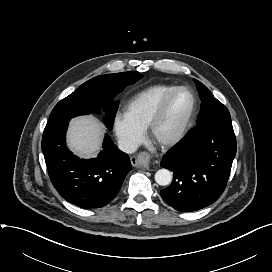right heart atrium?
<instances>
[{
	"instance_id": "d8ad5b80",
	"label": "right heart atrium",
	"mask_w": 272,
	"mask_h": 272,
	"mask_svg": "<svg viewBox=\"0 0 272 272\" xmlns=\"http://www.w3.org/2000/svg\"><path fill=\"white\" fill-rule=\"evenodd\" d=\"M113 128L119 146L126 152H133L144 140L145 130L138 126L126 113H117Z\"/></svg>"
}]
</instances>
